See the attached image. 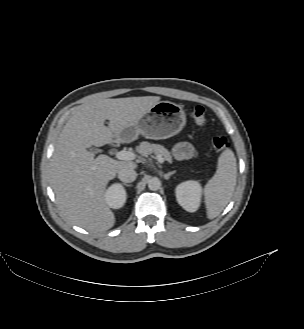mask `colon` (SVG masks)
I'll list each match as a JSON object with an SVG mask.
<instances>
[{
  "instance_id": "obj_1",
  "label": "colon",
  "mask_w": 304,
  "mask_h": 329,
  "mask_svg": "<svg viewBox=\"0 0 304 329\" xmlns=\"http://www.w3.org/2000/svg\"><path fill=\"white\" fill-rule=\"evenodd\" d=\"M191 116L194 122L198 125H204L206 122V111L202 106L195 107L191 113ZM211 144L218 152L225 151L230 147L229 141L221 135L214 136L211 139Z\"/></svg>"
}]
</instances>
